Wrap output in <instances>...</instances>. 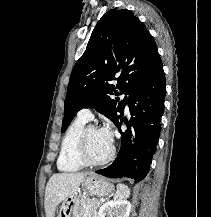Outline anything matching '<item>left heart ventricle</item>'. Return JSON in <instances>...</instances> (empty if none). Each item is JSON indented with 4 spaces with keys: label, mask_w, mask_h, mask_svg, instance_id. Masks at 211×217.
Masks as SVG:
<instances>
[{
    "label": "left heart ventricle",
    "mask_w": 211,
    "mask_h": 217,
    "mask_svg": "<svg viewBox=\"0 0 211 217\" xmlns=\"http://www.w3.org/2000/svg\"><path fill=\"white\" fill-rule=\"evenodd\" d=\"M112 144H110L106 138L97 129H91L88 132L87 148L89 156L94 160H101L105 158L110 150Z\"/></svg>",
    "instance_id": "1"
}]
</instances>
